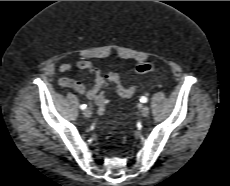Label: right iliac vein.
<instances>
[{"label": "right iliac vein", "instance_id": "63e3f726", "mask_svg": "<svg viewBox=\"0 0 230 186\" xmlns=\"http://www.w3.org/2000/svg\"><path fill=\"white\" fill-rule=\"evenodd\" d=\"M83 114H84V116L87 117V118L91 117V115H92L91 109L86 108V109L84 110Z\"/></svg>", "mask_w": 230, "mask_h": 186}]
</instances>
